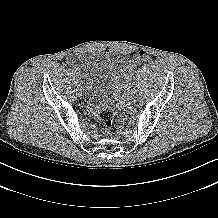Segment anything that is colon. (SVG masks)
<instances>
[{"instance_id": "obj_1", "label": "colon", "mask_w": 218, "mask_h": 218, "mask_svg": "<svg viewBox=\"0 0 218 218\" xmlns=\"http://www.w3.org/2000/svg\"><path fill=\"white\" fill-rule=\"evenodd\" d=\"M147 57L148 55L146 52L142 51L139 53L140 59H146ZM113 117L114 113L111 109L101 110L97 114L99 129L103 135H108L111 132L113 126Z\"/></svg>"}]
</instances>
